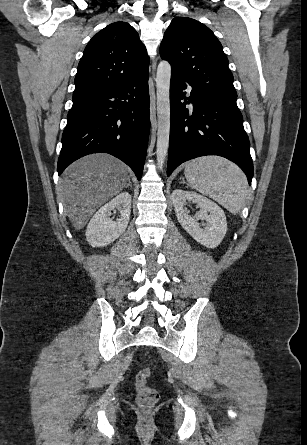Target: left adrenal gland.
<instances>
[{
  "label": "left adrenal gland",
  "mask_w": 307,
  "mask_h": 445,
  "mask_svg": "<svg viewBox=\"0 0 307 445\" xmlns=\"http://www.w3.org/2000/svg\"><path fill=\"white\" fill-rule=\"evenodd\" d=\"M182 182H185L184 178H182Z\"/></svg>",
  "instance_id": "a2214340"
}]
</instances>
